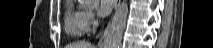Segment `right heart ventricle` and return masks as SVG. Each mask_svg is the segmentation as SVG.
I'll return each instance as SVG.
<instances>
[{
  "instance_id": "1",
  "label": "right heart ventricle",
  "mask_w": 213,
  "mask_h": 48,
  "mask_svg": "<svg viewBox=\"0 0 213 48\" xmlns=\"http://www.w3.org/2000/svg\"><path fill=\"white\" fill-rule=\"evenodd\" d=\"M84 11L76 8L71 2L67 5L64 16V28L67 34L81 37L88 28L84 22Z\"/></svg>"
}]
</instances>
